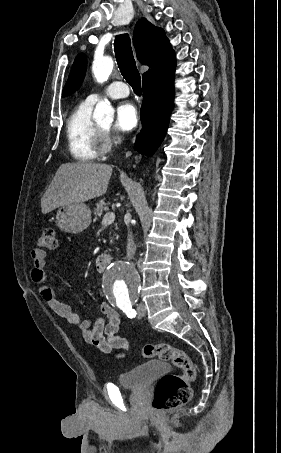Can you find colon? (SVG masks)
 I'll return each mask as SVG.
<instances>
[{"label":"colon","mask_w":281,"mask_h":453,"mask_svg":"<svg viewBox=\"0 0 281 453\" xmlns=\"http://www.w3.org/2000/svg\"><path fill=\"white\" fill-rule=\"evenodd\" d=\"M57 227H44L36 247L39 250H54L56 246ZM142 358H158L162 362L172 364L181 373H169L162 376L155 386L152 407L157 413H167L191 399L188 379L198 375V367L188 355L170 344L150 345L142 350Z\"/></svg>","instance_id":"5ec220e1"}]
</instances>
